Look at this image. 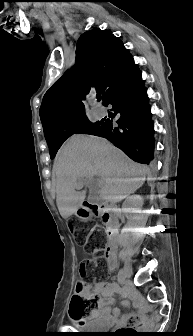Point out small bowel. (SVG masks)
Returning a JSON list of instances; mask_svg holds the SVG:
<instances>
[{"label": "small bowel", "instance_id": "c3829d8e", "mask_svg": "<svg viewBox=\"0 0 193 336\" xmlns=\"http://www.w3.org/2000/svg\"><path fill=\"white\" fill-rule=\"evenodd\" d=\"M110 267H113L114 263H108ZM85 293H95L101 297L100 309L96 312L90 321L100 320L103 321L106 325H113L115 323H133L136 326L144 327L149 323V319L144 315H136L123 318L119 320L117 318L118 312H115V315L111 314V304L113 301V292L114 287L103 281H99L95 284L93 289L87 288ZM129 296H131L136 302H138V296L130 292L126 291Z\"/></svg>", "mask_w": 193, "mask_h": 336}]
</instances>
